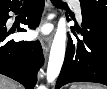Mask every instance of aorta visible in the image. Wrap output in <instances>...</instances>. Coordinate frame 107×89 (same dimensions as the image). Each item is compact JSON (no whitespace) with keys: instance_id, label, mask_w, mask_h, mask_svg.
<instances>
[{"instance_id":"1","label":"aorta","mask_w":107,"mask_h":89,"mask_svg":"<svg viewBox=\"0 0 107 89\" xmlns=\"http://www.w3.org/2000/svg\"><path fill=\"white\" fill-rule=\"evenodd\" d=\"M66 19L60 18L50 50L47 66V81L52 83L59 75L65 57Z\"/></svg>"}]
</instances>
